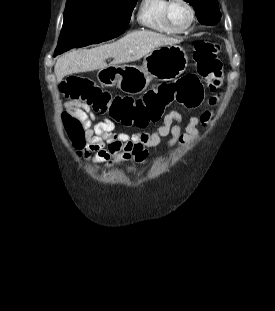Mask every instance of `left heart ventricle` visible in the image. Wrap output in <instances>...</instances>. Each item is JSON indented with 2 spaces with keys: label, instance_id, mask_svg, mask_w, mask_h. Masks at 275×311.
<instances>
[{
  "label": "left heart ventricle",
  "instance_id": "obj_1",
  "mask_svg": "<svg viewBox=\"0 0 275 311\" xmlns=\"http://www.w3.org/2000/svg\"><path fill=\"white\" fill-rule=\"evenodd\" d=\"M170 19L178 28H183L190 21V11L184 3L176 1L170 8Z\"/></svg>",
  "mask_w": 275,
  "mask_h": 311
}]
</instances>
